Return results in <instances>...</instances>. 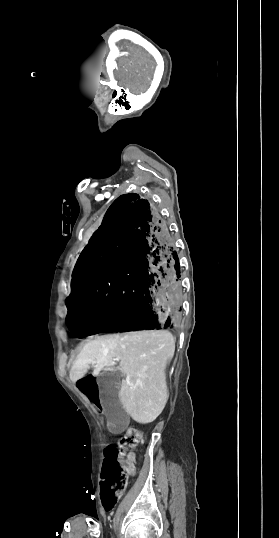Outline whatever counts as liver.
I'll return each mask as SVG.
<instances>
[{
    "instance_id": "1",
    "label": "liver",
    "mask_w": 279,
    "mask_h": 538,
    "mask_svg": "<svg viewBox=\"0 0 279 538\" xmlns=\"http://www.w3.org/2000/svg\"><path fill=\"white\" fill-rule=\"evenodd\" d=\"M174 352L175 340L167 330L101 336L85 344L71 376L80 380L89 364H95L92 376H99L101 370H120L124 378L119 398L125 412L139 424H150L168 400L165 370Z\"/></svg>"
}]
</instances>
